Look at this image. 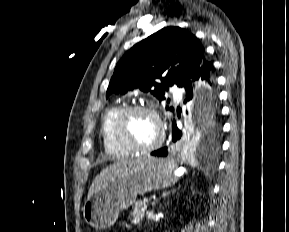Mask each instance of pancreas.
<instances>
[{"label": "pancreas", "mask_w": 289, "mask_h": 232, "mask_svg": "<svg viewBox=\"0 0 289 232\" xmlns=\"http://www.w3.org/2000/svg\"><path fill=\"white\" fill-rule=\"evenodd\" d=\"M147 210V205L144 202H137L133 207L131 212V217H133V223L139 224L144 218L145 211Z\"/></svg>", "instance_id": "1"}]
</instances>
